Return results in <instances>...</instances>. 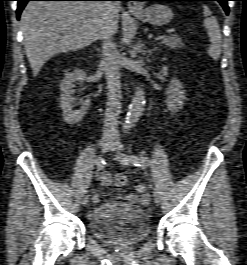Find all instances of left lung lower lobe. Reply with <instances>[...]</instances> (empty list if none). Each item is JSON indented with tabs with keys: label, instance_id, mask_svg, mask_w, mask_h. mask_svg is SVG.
<instances>
[{
	"label": "left lung lower lobe",
	"instance_id": "0a47b994",
	"mask_svg": "<svg viewBox=\"0 0 247 265\" xmlns=\"http://www.w3.org/2000/svg\"><path fill=\"white\" fill-rule=\"evenodd\" d=\"M136 1H178V0H136ZM193 1H218L224 8L226 14H229V7L227 2L230 0H193Z\"/></svg>",
	"mask_w": 247,
	"mask_h": 265
}]
</instances>
